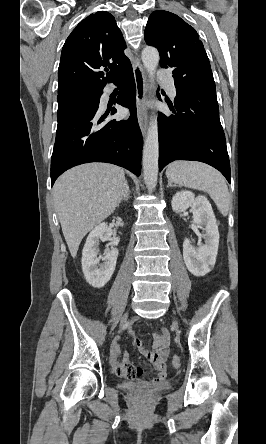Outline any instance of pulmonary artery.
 Returning a JSON list of instances; mask_svg holds the SVG:
<instances>
[{
    "label": "pulmonary artery",
    "instance_id": "e3ab8cb5",
    "mask_svg": "<svg viewBox=\"0 0 266 444\" xmlns=\"http://www.w3.org/2000/svg\"><path fill=\"white\" fill-rule=\"evenodd\" d=\"M158 77L160 78V80L165 85L169 95L172 98H175L176 97V88H175V85H174V79L171 76L165 74L162 71L158 72Z\"/></svg>",
    "mask_w": 266,
    "mask_h": 444
}]
</instances>
